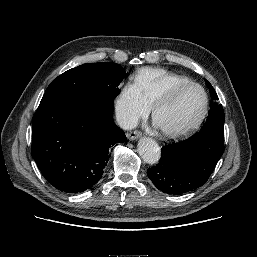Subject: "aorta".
Here are the masks:
<instances>
[{"mask_svg": "<svg viewBox=\"0 0 257 257\" xmlns=\"http://www.w3.org/2000/svg\"><path fill=\"white\" fill-rule=\"evenodd\" d=\"M138 153L144 162L155 164L160 159V147L151 138L143 137L138 142Z\"/></svg>", "mask_w": 257, "mask_h": 257, "instance_id": "1", "label": "aorta"}]
</instances>
